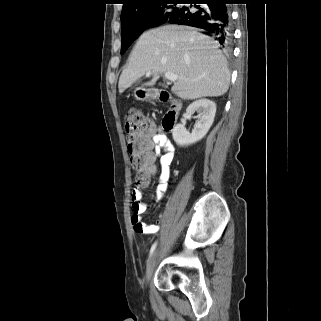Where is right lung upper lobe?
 Wrapping results in <instances>:
<instances>
[{"instance_id":"1","label":"right lung upper lobe","mask_w":321,"mask_h":321,"mask_svg":"<svg viewBox=\"0 0 321 321\" xmlns=\"http://www.w3.org/2000/svg\"><path fill=\"white\" fill-rule=\"evenodd\" d=\"M160 0H124L121 18L138 12L142 8Z\"/></svg>"}]
</instances>
